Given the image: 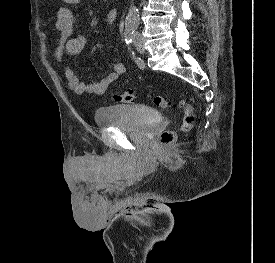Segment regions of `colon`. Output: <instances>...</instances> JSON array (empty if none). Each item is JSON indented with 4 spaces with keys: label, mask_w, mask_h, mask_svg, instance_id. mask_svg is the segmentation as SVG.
Masks as SVG:
<instances>
[{
    "label": "colon",
    "mask_w": 275,
    "mask_h": 263,
    "mask_svg": "<svg viewBox=\"0 0 275 263\" xmlns=\"http://www.w3.org/2000/svg\"><path fill=\"white\" fill-rule=\"evenodd\" d=\"M50 1V0H47ZM136 94L132 89L126 90L124 92H116L112 94V100L115 103H131L135 100ZM154 104L160 108H166L169 106V102L163 96L156 95L152 97ZM179 106L184 112L181 130L188 131L192 128L195 122V115L192 105L186 100L181 99ZM176 141V132L174 131H164L159 139V144L161 146H171Z\"/></svg>",
    "instance_id": "5ec220e1"
}]
</instances>
